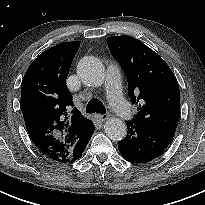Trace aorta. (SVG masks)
I'll return each instance as SVG.
<instances>
[{"mask_svg": "<svg viewBox=\"0 0 205 205\" xmlns=\"http://www.w3.org/2000/svg\"><path fill=\"white\" fill-rule=\"evenodd\" d=\"M79 78L88 86L99 87L104 80V68L101 62L93 57L87 56L80 60L77 66ZM106 135L112 140H122L127 134L125 123L119 118H110L104 125Z\"/></svg>", "mask_w": 205, "mask_h": 205, "instance_id": "obj_1", "label": "aorta"}]
</instances>
